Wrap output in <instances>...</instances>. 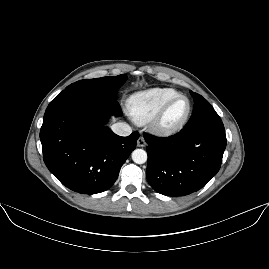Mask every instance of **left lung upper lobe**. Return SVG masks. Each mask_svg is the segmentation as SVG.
<instances>
[{
	"mask_svg": "<svg viewBox=\"0 0 269 269\" xmlns=\"http://www.w3.org/2000/svg\"><path fill=\"white\" fill-rule=\"evenodd\" d=\"M190 93L194 100V110L185 128L195 127L208 122L221 121L219 115L205 98L193 91H190Z\"/></svg>",
	"mask_w": 269,
	"mask_h": 269,
	"instance_id": "5c2ea615",
	"label": "left lung upper lobe"
}]
</instances>
